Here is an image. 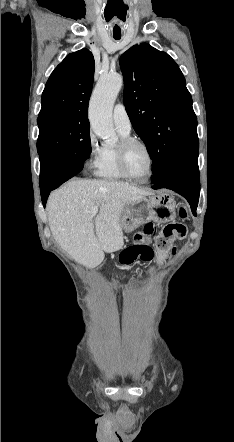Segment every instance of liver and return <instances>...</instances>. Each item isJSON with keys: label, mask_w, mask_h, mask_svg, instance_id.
I'll return each instance as SVG.
<instances>
[{"label": "liver", "mask_w": 234, "mask_h": 442, "mask_svg": "<svg viewBox=\"0 0 234 442\" xmlns=\"http://www.w3.org/2000/svg\"><path fill=\"white\" fill-rule=\"evenodd\" d=\"M151 191L128 183L75 179L52 192L48 222L55 240L78 263L95 268L105 254L124 244L120 218L123 209ZM100 208L95 219L91 210Z\"/></svg>", "instance_id": "6515ba94"}]
</instances>
